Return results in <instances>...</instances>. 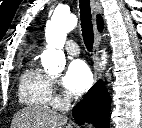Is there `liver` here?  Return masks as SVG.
Returning a JSON list of instances; mask_svg holds the SVG:
<instances>
[{
  "instance_id": "liver-1",
  "label": "liver",
  "mask_w": 142,
  "mask_h": 128,
  "mask_svg": "<svg viewBox=\"0 0 142 128\" xmlns=\"http://www.w3.org/2000/svg\"><path fill=\"white\" fill-rule=\"evenodd\" d=\"M12 128H72L67 118L47 108L26 107L15 114Z\"/></svg>"
}]
</instances>
